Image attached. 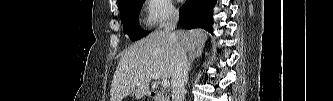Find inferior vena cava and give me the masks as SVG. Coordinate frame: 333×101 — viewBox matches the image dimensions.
Here are the masks:
<instances>
[{"instance_id": "1", "label": "inferior vena cava", "mask_w": 333, "mask_h": 101, "mask_svg": "<svg viewBox=\"0 0 333 101\" xmlns=\"http://www.w3.org/2000/svg\"><path fill=\"white\" fill-rule=\"evenodd\" d=\"M178 22V12L173 11L170 13L169 18L164 22L161 27L170 36H174L173 31L175 30ZM175 68L171 80L172 88V101H184V87L188 80V59L185 49L181 43L175 42Z\"/></svg>"}]
</instances>
